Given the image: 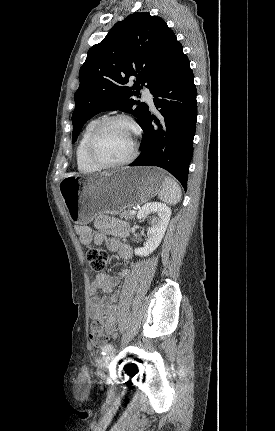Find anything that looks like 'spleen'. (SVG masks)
<instances>
[{
  "mask_svg": "<svg viewBox=\"0 0 275 431\" xmlns=\"http://www.w3.org/2000/svg\"><path fill=\"white\" fill-rule=\"evenodd\" d=\"M181 189L177 182L169 176L164 178V184L158 194L160 200L171 205L177 204L181 199Z\"/></svg>",
  "mask_w": 275,
  "mask_h": 431,
  "instance_id": "spleen-1",
  "label": "spleen"
}]
</instances>
